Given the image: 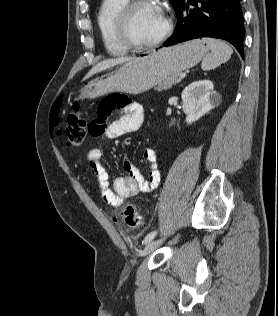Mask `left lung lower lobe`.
I'll return each mask as SVG.
<instances>
[{
    "label": "left lung lower lobe",
    "instance_id": "1",
    "mask_svg": "<svg viewBox=\"0 0 278 316\" xmlns=\"http://www.w3.org/2000/svg\"><path fill=\"white\" fill-rule=\"evenodd\" d=\"M177 27L163 44L213 37L230 42L243 56V14L239 0H182Z\"/></svg>",
    "mask_w": 278,
    "mask_h": 316
}]
</instances>
